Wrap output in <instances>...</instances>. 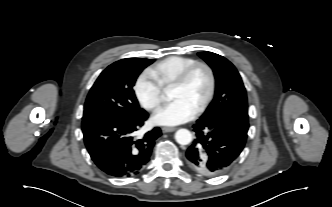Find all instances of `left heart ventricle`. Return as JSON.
Instances as JSON below:
<instances>
[{
  "label": "left heart ventricle",
  "instance_id": "1",
  "mask_svg": "<svg viewBox=\"0 0 332 207\" xmlns=\"http://www.w3.org/2000/svg\"><path fill=\"white\" fill-rule=\"evenodd\" d=\"M209 87V78L204 69L196 70L183 87H172V100L180 99L195 110L204 99Z\"/></svg>",
  "mask_w": 332,
  "mask_h": 207
}]
</instances>
